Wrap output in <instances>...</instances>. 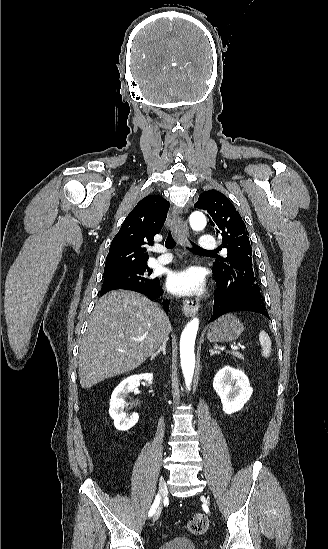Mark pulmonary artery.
<instances>
[{"instance_id":"obj_1","label":"pulmonary artery","mask_w":328,"mask_h":549,"mask_svg":"<svg viewBox=\"0 0 328 549\" xmlns=\"http://www.w3.org/2000/svg\"><path fill=\"white\" fill-rule=\"evenodd\" d=\"M205 252H218L220 250V243L213 241L211 237H202L198 242ZM170 254H162L155 259L157 264H166L171 260Z\"/></svg>"}]
</instances>
